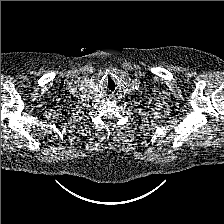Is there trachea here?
<instances>
[{
    "mask_svg": "<svg viewBox=\"0 0 224 224\" xmlns=\"http://www.w3.org/2000/svg\"><path fill=\"white\" fill-rule=\"evenodd\" d=\"M106 88L112 92L115 90L116 84L111 78H108V82H106Z\"/></svg>",
    "mask_w": 224,
    "mask_h": 224,
    "instance_id": "obj_1",
    "label": "trachea"
}]
</instances>
